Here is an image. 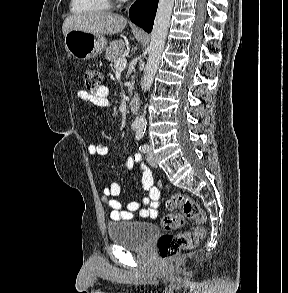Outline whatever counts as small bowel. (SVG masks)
Wrapping results in <instances>:
<instances>
[{"mask_svg":"<svg viewBox=\"0 0 288 293\" xmlns=\"http://www.w3.org/2000/svg\"><path fill=\"white\" fill-rule=\"evenodd\" d=\"M109 90L106 86H102L98 91L91 92L88 90H80L77 94L79 100L89 102L96 107L111 108V102L108 98ZM88 152L95 157H103L109 153V147L106 144H90ZM134 164H139L142 169V187L147 196L140 201H131L123 206L116 196L120 193V186L117 183H111L104 187L103 201L105 205L111 209L110 218L114 221L131 220L138 212L142 218L155 219L158 216L159 200L161 197L160 190L154 184L151 171L142 161V156L138 153L130 155L127 159V168L131 170Z\"/></svg>","mask_w":288,"mask_h":293,"instance_id":"c3829d8e","label":"small bowel"}]
</instances>
